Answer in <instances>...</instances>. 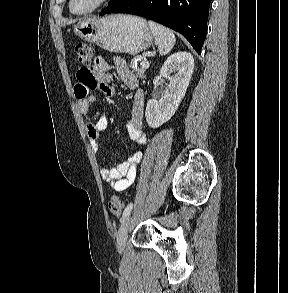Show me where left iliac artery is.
<instances>
[{"label": "left iliac artery", "mask_w": 288, "mask_h": 293, "mask_svg": "<svg viewBox=\"0 0 288 293\" xmlns=\"http://www.w3.org/2000/svg\"><path fill=\"white\" fill-rule=\"evenodd\" d=\"M132 208H133V203H129V204L126 206V208H125V210H124V212H123V216H122V218H121V221H124V219H125L126 216L130 213V211L132 210Z\"/></svg>", "instance_id": "obj_1"}]
</instances>
